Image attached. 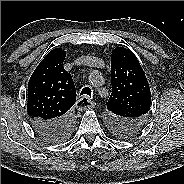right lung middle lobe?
Masks as SVG:
<instances>
[{
	"label": "right lung middle lobe",
	"mask_w": 184,
	"mask_h": 184,
	"mask_svg": "<svg viewBox=\"0 0 184 184\" xmlns=\"http://www.w3.org/2000/svg\"><path fill=\"white\" fill-rule=\"evenodd\" d=\"M72 129H73V125H71V127L68 128L65 132H62V133H60L59 135L54 136L53 138H50V139L44 138V139L47 140V141H49V142L63 141V140H65L66 138L69 137V135H70L71 132H72Z\"/></svg>",
	"instance_id": "right-lung-middle-lobe-1"
}]
</instances>
